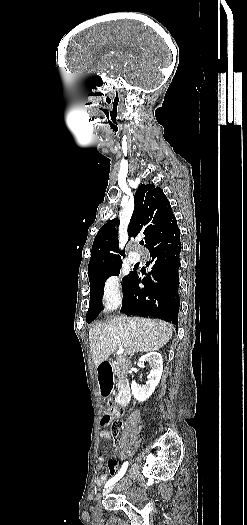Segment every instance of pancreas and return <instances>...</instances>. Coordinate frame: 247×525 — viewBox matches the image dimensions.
Returning <instances> with one entry per match:
<instances>
[{
    "label": "pancreas",
    "mask_w": 247,
    "mask_h": 525,
    "mask_svg": "<svg viewBox=\"0 0 247 525\" xmlns=\"http://www.w3.org/2000/svg\"><path fill=\"white\" fill-rule=\"evenodd\" d=\"M110 363H111L114 371H116L117 375H119V373H123V369H121L120 365H118V363H116V361H112V359H111ZM120 377H121V375H119V377H118V379H119L118 385H120V383H121Z\"/></svg>",
    "instance_id": "cf45deb5"
}]
</instances>
